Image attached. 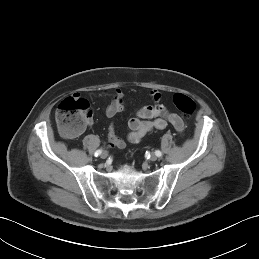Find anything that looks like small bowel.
Returning a JSON list of instances; mask_svg holds the SVG:
<instances>
[{
    "label": "small bowel",
    "mask_w": 259,
    "mask_h": 259,
    "mask_svg": "<svg viewBox=\"0 0 259 259\" xmlns=\"http://www.w3.org/2000/svg\"><path fill=\"white\" fill-rule=\"evenodd\" d=\"M111 97V102L106 108V115L113 117L125 108L124 95L118 88L105 92ZM150 97L154 102L151 106L140 108L136 117L129 119L127 141L129 143H138L148 133L154 130H162L168 124H171L179 133L184 131V122L180 116L171 113L163 104H161L162 95L157 90L150 91ZM92 124V118L89 120ZM108 141L111 146L123 149L126 145L125 140L117 135L113 127L109 128Z\"/></svg>",
    "instance_id": "obj_1"
}]
</instances>
